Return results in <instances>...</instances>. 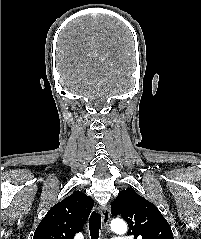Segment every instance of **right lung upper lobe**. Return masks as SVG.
Listing matches in <instances>:
<instances>
[{
	"label": "right lung upper lobe",
	"mask_w": 201,
	"mask_h": 239,
	"mask_svg": "<svg viewBox=\"0 0 201 239\" xmlns=\"http://www.w3.org/2000/svg\"><path fill=\"white\" fill-rule=\"evenodd\" d=\"M93 206L91 197L75 191L49 210L33 239H73L82 230Z\"/></svg>",
	"instance_id": "right-lung-upper-lobe-1"
}]
</instances>
